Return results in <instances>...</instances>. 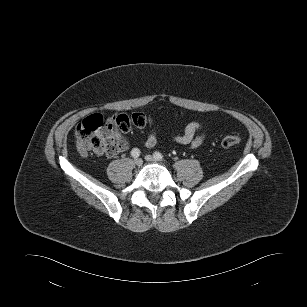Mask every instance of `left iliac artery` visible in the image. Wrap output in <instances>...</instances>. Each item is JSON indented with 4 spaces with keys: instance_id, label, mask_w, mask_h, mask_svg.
<instances>
[{
    "instance_id": "44dca946",
    "label": "left iliac artery",
    "mask_w": 307,
    "mask_h": 307,
    "mask_svg": "<svg viewBox=\"0 0 307 307\" xmlns=\"http://www.w3.org/2000/svg\"><path fill=\"white\" fill-rule=\"evenodd\" d=\"M154 157L157 159V160H163V155L160 153V152H154Z\"/></svg>"
}]
</instances>
